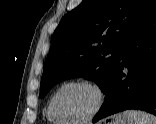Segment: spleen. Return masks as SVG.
<instances>
[{"label": "spleen", "mask_w": 156, "mask_h": 124, "mask_svg": "<svg viewBox=\"0 0 156 124\" xmlns=\"http://www.w3.org/2000/svg\"><path fill=\"white\" fill-rule=\"evenodd\" d=\"M123 117L129 124H156V117L143 111L126 110Z\"/></svg>", "instance_id": "obj_1"}]
</instances>
